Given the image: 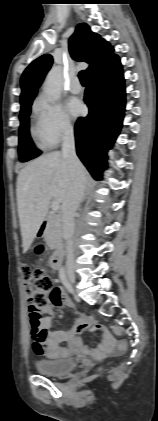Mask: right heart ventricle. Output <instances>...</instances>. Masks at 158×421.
Listing matches in <instances>:
<instances>
[{
  "label": "right heart ventricle",
  "mask_w": 158,
  "mask_h": 421,
  "mask_svg": "<svg viewBox=\"0 0 158 421\" xmlns=\"http://www.w3.org/2000/svg\"><path fill=\"white\" fill-rule=\"evenodd\" d=\"M30 134L34 143L40 149H49L54 145L46 137L38 114L33 116V121L30 127Z\"/></svg>",
  "instance_id": "obj_1"
}]
</instances>
